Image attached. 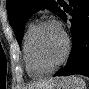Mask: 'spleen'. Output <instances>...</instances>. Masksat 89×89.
Masks as SVG:
<instances>
[{"mask_svg": "<svg viewBox=\"0 0 89 89\" xmlns=\"http://www.w3.org/2000/svg\"><path fill=\"white\" fill-rule=\"evenodd\" d=\"M67 82L74 88V89H86L85 81L81 77L71 76L67 79Z\"/></svg>", "mask_w": 89, "mask_h": 89, "instance_id": "1", "label": "spleen"}]
</instances>
